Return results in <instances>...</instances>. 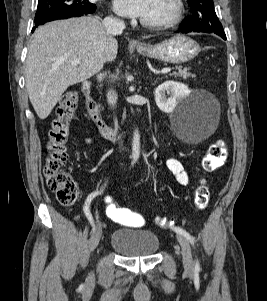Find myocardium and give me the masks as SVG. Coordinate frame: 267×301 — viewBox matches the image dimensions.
Wrapping results in <instances>:
<instances>
[{
  "instance_id": "myocardium-1",
  "label": "myocardium",
  "mask_w": 267,
  "mask_h": 301,
  "mask_svg": "<svg viewBox=\"0 0 267 301\" xmlns=\"http://www.w3.org/2000/svg\"><path fill=\"white\" fill-rule=\"evenodd\" d=\"M174 9L172 14L160 21H146L144 19L140 20L142 26L149 28V29H167L170 27L175 26L180 22L183 17L185 5L183 0H173Z\"/></svg>"
}]
</instances>
